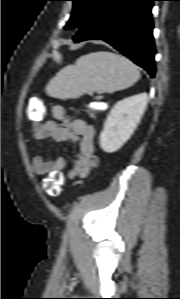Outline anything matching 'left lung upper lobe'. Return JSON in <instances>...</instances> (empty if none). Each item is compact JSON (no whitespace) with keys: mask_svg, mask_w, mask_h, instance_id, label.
<instances>
[{"mask_svg":"<svg viewBox=\"0 0 180 299\" xmlns=\"http://www.w3.org/2000/svg\"><path fill=\"white\" fill-rule=\"evenodd\" d=\"M74 2L72 15L64 28H74L82 25L87 15L98 0H71Z\"/></svg>","mask_w":180,"mask_h":299,"instance_id":"5c2ea615","label":"left lung upper lobe"}]
</instances>
